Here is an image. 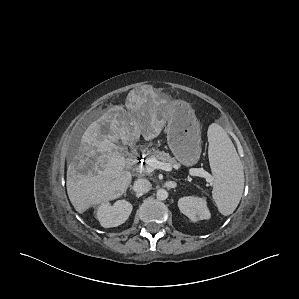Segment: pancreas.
Wrapping results in <instances>:
<instances>
[{
    "instance_id": "1",
    "label": "pancreas",
    "mask_w": 299,
    "mask_h": 299,
    "mask_svg": "<svg viewBox=\"0 0 299 299\" xmlns=\"http://www.w3.org/2000/svg\"><path fill=\"white\" fill-rule=\"evenodd\" d=\"M152 158H155L158 161H162L163 163H168L175 168L180 167V164L174 158H172L168 153L164 151L154 150L152 152H149L145 158L146 162Z\"/></svg>"
}]
</instances>
